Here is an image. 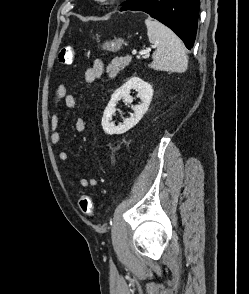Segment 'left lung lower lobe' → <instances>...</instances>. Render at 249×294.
I'll return each instance as SVG.
<instances>
[{"mask_svg":"<svg viewBox=\"0 0 249 294\" xmlns=\"http://www.w3.org/2000/svg\"><path fill=\"white\" fill-rule=\"evenodd\" d=\"M200 0H129L120 11H144L171 28L185 43L193 47L198 24Z\"/></svg>","mask_w":249,"mask_h":294,"instance_id":"obj_1","label":"left lung lower lobe"}]
</instances>
